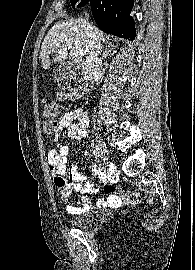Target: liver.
Listing matches in <instances>:
<instances>
[{
    "label": "liver",
    "instance_id": "1",
    "mask_svg": "<svg viewBox=\"0 0 195 270\" xmlns=\"http://www.w3.org/2000/svg\"><path fill=\"white\" fill-rule=\"evenodd\" d=\"M92 28L101 43H104V34L97 27L92 26ZM107 45L110 46L108 43ZM69 49L77 50L79 52L78 56L81 58L87 56L90 49V38L86 20L68 19L59 21L48 31L40 52L43 69L46 71L50 68L49 56L51 53H55L54 62L62 63L67 58Z\"/></svg>",
    "mask_w": 195,
    "mask_h": 270
}]
</instances>
